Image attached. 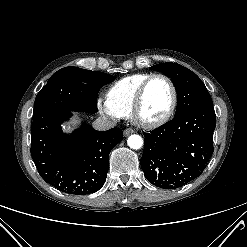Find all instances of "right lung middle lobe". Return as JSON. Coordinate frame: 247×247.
I'll use <instances>...</instances> for the list:
<instances>
[{"label":"right lung middle lobe","mask_w":247,"mask_h":247,"mask_svg":"<svg viewBox=\"0 0 247 247\" xmlns=\"http://www.w3.org/2000/svg\"><path fill=\"white\" fill-rule=\"evenodd\" d=\"M114 77L77 67H65L54 73L35 99L33 116L44 111L66 108L77 112H97V95Z\"/></svg>","instance_id":"obj_1"}]
</instances>
